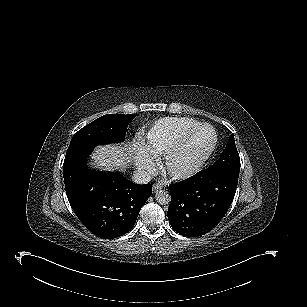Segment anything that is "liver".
Returning a JSON list of instances; mask_svg holds the SVG:
<instances>
[{
	"label": "liver",
	"mask_w": 307,
	"mask_h": 307,
	"mask_svg": "<svg viewBox=\"0 0 307 307\" xmlns=\"http://www.w3.org/2000/svg\"><path fill=\"white\" fill-rule=\"evenodd\" d=\"M129 151L127 147L108 144L98 146L90 155V165L101 170L113 171L127 166Z\"/></svg>",
	"instance_id": "liver-1"
}]
</instances>
